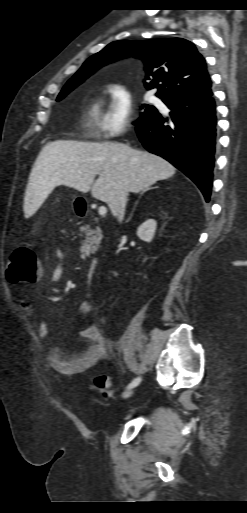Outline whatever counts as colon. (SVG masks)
Masks as SVG:
<instances>
[{"label": "colon", "mask_w": 247, "mask_h": 513, "mask_svg": "<svg viewBox=\"0 0 247 513\" xmlns=\"http://www.w3.org/2000/svg\"><path fill=\"white\" fill-rule=\"evenodd\" d=\"M40 274L41 267L31 247L21 245L11 251L5 272L6 278L11 284L35 283ZM94 385L103 396H108L110 383L105 375H98L95 378Z\"/></svg>", "instance_id": "colon-1"}]
</instances>
